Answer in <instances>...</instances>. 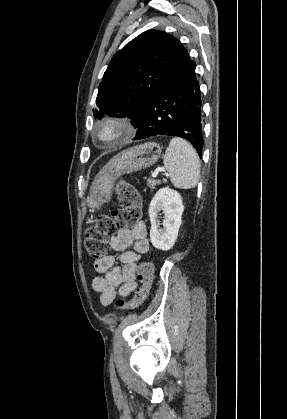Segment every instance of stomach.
<instances>
[{
	"label": "stomach",
	"instance_id": "0dacf381",
	"mask_svg": "<svg viewBox=\"0 0 287 419\" xmlns=\"http://www.w3.org/2000/svg\"><path fill=\"white\" fill-rule=\"evenodd\" d=\"M161 152L159 144L146 142L114 156L95 176L87 197L88 204L97 207L108 202L114 183L120 176L152 166L160 158Z\"/></svg>",
	"mask_w": 287,
	"mask_h": 419
}]
</instances>
